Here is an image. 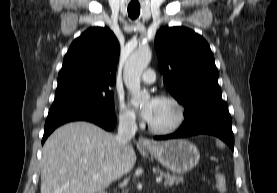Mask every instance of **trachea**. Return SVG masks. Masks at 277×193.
<instances>
[{
	"mask_svg": "<svg viewBox=\"0 0 277 193\" xmlns=\"http://www.w3.org/2000/svg\"><path fill=\"white\" fill-rule=\"evenodd\" d=\"M140 14L139 5H129L128 6V15L131 19H136Z\"/></svg>",
	"mask_w": 277,
	"mask_h": 193,
	"instance_id": "3493384b",
	"label": "trachea"
}]
</instances>
